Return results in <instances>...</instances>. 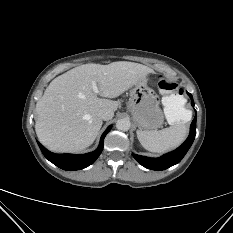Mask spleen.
<instances>
[{
  "label": "spleen",
  "instance_id": "obj_1",
  "mask_svg": "<svg viewBox=\"0 0 233 233\" xmlns=\"http://www.w3.org/2000/svg\"><path fill=\"white\" fill-rule=\"evenodd\" d=\"M164 113L171 125L160 131L137 130L141 145L150 152L163 153L178 147L187 134L185 123L191 120L192 113L182 106V99L163 98Z\"/></svg>",
  "mask_w": 233,
  "mask_h": 233
}]
</instances>
